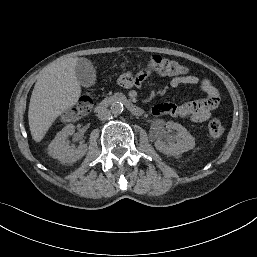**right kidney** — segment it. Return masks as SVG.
Returning <instances> with one entry per match:
<instances>
[{
    "label": "right kidney",
    "mask_w": 257,
    "mask_h": 257,
    "mask_svg": "<svg viewBox=\"0 0 257 257\" xmlns=\"http://www.w3.org/2000/svg\"><path fill=\"white\" fill-rule=\"evenodd\" d=\"M75 126L68 124L60 132L49 145V153L54 159H58L62 163H73L82 158L87 152V145L81 144L77 148L71 147L67 143V138L73 135Z\"/></svg>",
    "instance_id": "right-kidney-1"
}]
</instances>
